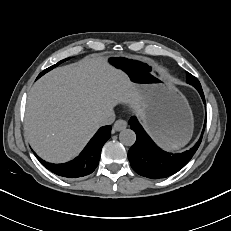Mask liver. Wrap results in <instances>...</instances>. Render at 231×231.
I'll return each mask as SVG.
<instances>
[{"label": "liver", "instance_id": "liver-1", "mask_svg": "<svg viewBox=\"0 0 231 231\" xmlns=\"http://www.w3.org/2000/svg\"><path fill=\"white\" fill-rule=\"evenodd\" d=\"M118 103L143 115L145 104L127 75L102 56L54 69L31 88L25 134L44 160L61 163L74 158L100 127L102 116Z\"/></svg>", "mask_w": 231, "mask_h": 231}]
</instances>
